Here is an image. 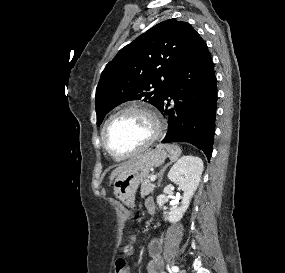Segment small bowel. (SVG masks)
<instances>
[{"mask_svg": "<svg viewBox=\"0 0 285 273\" xmlns=\"http://www.w3.org/2000/svg\"><path fill=\"white\" fill-rule=\"evenodd\" d=\"M145 207L149 212L155 211V203L152 198L145 201ZM148 253L150 260L147 263V273H165L163 270L164 263L161 257L162 246L160 241L151 240L148 244Z\"/></svg>", "mask_w": 285, "mask_h": 273, "instance_id": "1", "label": "small bowel"}]
</instances>
